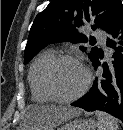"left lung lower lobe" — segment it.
Wrapping results in <instances>:
<instances>
[{
	"mask_svg": "<svg viewBox=\"0 0 123 130\" xmlns=\"http://www.w3.org/2000/svg\"><path fill=\"white\" fill-rule=\"evenodd\" d=\"M107 33V46L113 49L112 61L102 64L103 73L96 77L84 98L72 106L86 111H105L123 122V9ZM99 58L101 53L92 60L95 69L101 65Z\"/></svg>",
	"mask_w": 123,
	"mask_h": 130,
	"instance_id": "1",
	"label": "left lung lower lobe"
}]
</instances>
